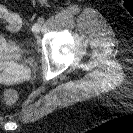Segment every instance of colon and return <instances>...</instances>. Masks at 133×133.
Listing matches in <instances>:
<instances>
[{
  "label": "colon",
  "instance_id": "1",
  "mask_svg": "<svg viewBox=\"0 0 133 133\" xmlns=\"http://www.w3.org/2000/svg\"><path fill=\"white\" fill-rule=\"evenodd\" d=\"M0 21L8 23V28L15 31L22 25L20 16L0 5ZM3 102L5 104H14L17 100V95L14 91L8 90L3 94Z\"/></svg>",
  "mask_w": 133,
  "mask_h": 133
}]
</instances>
